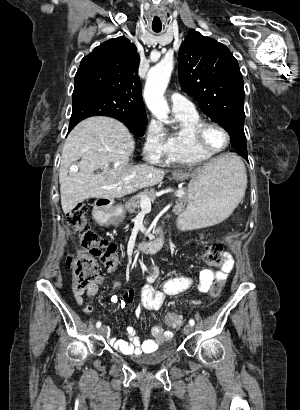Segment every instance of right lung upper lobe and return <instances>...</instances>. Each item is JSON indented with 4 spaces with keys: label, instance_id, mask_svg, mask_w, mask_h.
<instances>
[{
    "label": "right lung upper lobe",
    "instance_id": "right-lung-upper-lobe-1",
    "mask_svg": "<svg viewBox=\"0 0 300 410\" xmlns=\"http://www.w3.org/2000/svg\"><path fill=\"white\" fill-rule=\"evenodd\" d=\"M139 61L137 49L128 39H110L81 60L75 86L90 85L107 93L115 103L114 113L119 116L146 118Z\"/></svg>",
    "mask_w": 300,
    "mask_h": 410
}]
</instances>
